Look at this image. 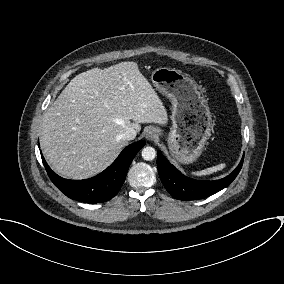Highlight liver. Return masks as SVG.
<instances>
[{
	"instance_id": "1",
	"label": "liver",
	"mask_w": 284,
	"mask_h": 284,
	"mask_svg": "<svg viewBox=\"0 0 284 284\" xmlns=\"http://www.w3.org/2000/svg\"><path fill=\"white\" fill-rule=\"evenodd\" d=\"M133 121V122H131ZM167 111L136 62L93 68L75 76L48 108L41 147L62 177L90 178L126 146L122 134L141 123L166 124Z\"/></svg>"
}]
</instances>
